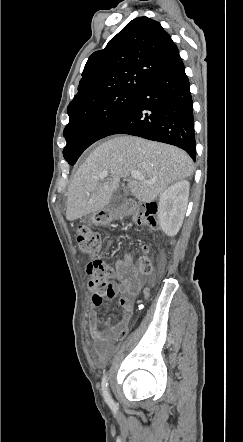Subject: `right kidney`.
Segmentation results:
<instances>
[{
    "label": "right kidney",
    "instance_id": "ca27d5eb",
    "mask_svg": "<svg viewBox=\"0 0 243 442\" xmlns=\"http://www.w3.org/2000/svg\"><path fill=\"white\" fill-rule=\"evenodd\" d=\"M190 184L179 181L167 188L159 198L158 218L160 227L169 236L179 231L187 208Z\"/></svg>",
    "mask_w": 243,
    "mask_h": 442
}]
</instances>
